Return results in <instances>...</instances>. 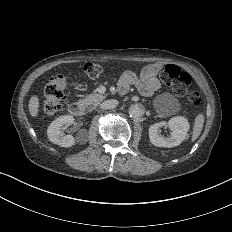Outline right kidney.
I'll return each mask as SVG.
<instances>
[{
    "instance_id": "ca27d5eb",
    "label": "right kidney",
    "mask_w": 232,
    "mask_h": 232,
    "mask_svg": "<svg viewBox=\"0 0 232 232\" xmlns=\"http://www.w3.org/2000/svg\"><path fill=\"white\" fill-rule=\"evenodd\" d=\"M74 117L72 115H62L56 118L48 127L47 138L53 143L63 147L73 145L74 138L71 134H64L62 126L72 125Z\"/></svg>"
}]
</instances>
